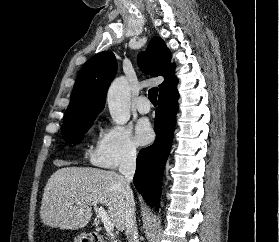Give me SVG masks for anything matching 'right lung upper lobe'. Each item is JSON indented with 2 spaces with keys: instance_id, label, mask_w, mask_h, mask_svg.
I'll return each mask as SVG.
<instances>
[{
  "instance_id": "1",
  "label": "right lung upper lobe",
  "mask_w": 279,
  "mask_h": 242,
  "mask_svg": "<svg viewBox=\"0 0 279 242\" xmlns=\"http://www.w3.org/2000/svg\"><path fill=\"white\" fill-rule=\"evenodd\" d=\"M171 57L164 40L159 37L153 38L146 52L138 56V64L145 72L164 77V82L159 85V96L170 93L177 86ZM116 71L117 61L110 51L100 52L84 64L77 76L63 125L80 123L102 111Z\"/></svg>"
}]
</instances>
